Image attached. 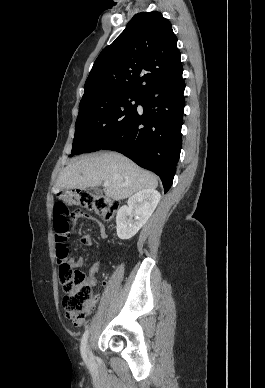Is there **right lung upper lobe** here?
<instances>
[{
    "mask_svg": "<svg viewBox=\"0 0 265 388\" xmlns=\"http://www.w3.org/2000/svg\"><path fill=\"white\" fill-rule=\"evenodd\" d=\"M180 55L172 26L160 12L135 14L94 62L83 98L103 90L141 95L182 74Z\"/></svg>",
    "mask_w": 265,
    "mask_h": 388,
    "instance_id": "cb5924a9",
    "label": "right lung upper lobe"
}]
</instances>
